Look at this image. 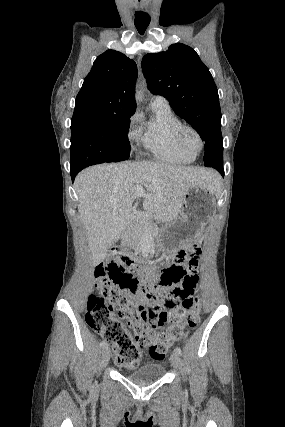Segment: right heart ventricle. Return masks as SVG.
I'll return each mask as SVG.
<instances>
[{"label": "right heart ventricle", "mask_w": 285, "mask_h": 427, "mask_svg": "<svg viewBox=\"0 0 285 427\" xmlns=\"http://www.w3.org/2000/svg\"><path fill=\"white\" fill-rule=\"evenodd\" d=\"M151 116L141 120L137 132L144 147L161 161L187 164L195 156L184 152L177 144L175 129L181 124L168 104L151 103Z\"/></svg>", "instance_id": "right-heart-ventricle-1"}]
</instances>
